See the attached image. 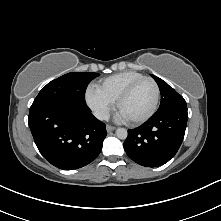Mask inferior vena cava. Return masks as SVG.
I'll list each match as a JSON object with an SVG mask.
<instances>
[{"instance_id":"1","label":"inferior vena cava","mask_w":221,"mask_h":221,"mask_svg":"<svg viewBox=\"0 0 221 221\" xmlns=\"http://www.w3.org/2000/svg\"><path fill=\"white\" fill-rule=\"evenodd\" d=\"M94 116L99 120H108L109 119V112L105 109H96L93 112Z\"/></svg>"}]
</instances>
